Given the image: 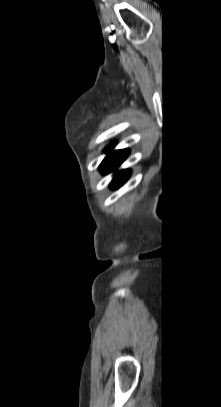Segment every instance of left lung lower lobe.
I'll return each instance as SVG.
<instances>
[{"mask_svg": "<svg viewBox=\"0 0 221 407\" xmlns=\"http://www.w3.org/2000/svg\"><path fill=\"white\" fill-rule=\"evenodd\" d=\"M113 146L109 147L107 151L111 150ZM128 149L117 150L108 153L105 159L99 166L102 173L107 174L114 171L128 156ZM130 176L129 170L118 171L114 175V179L111 182V187L116 189L120 187Z\"/></svg>", "mask_w": 221, "mask_h": 407, "instance_id": "left-lung-lower-lobe-1", "label": "left lung lower lobe"}]
</instances>
